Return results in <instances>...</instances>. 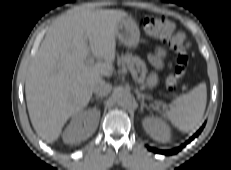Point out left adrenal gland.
I'll return each instance as SVG.
<instances>
[{"instance_id": "obj_1", "label": "left adrenal gland", "mask_w": 231, "mask_h": 170, "mask_svg": "<svg viewBox=\"0 0 231 170\" xmlns=\"http://www.w3.org/2000/svg\"><path fill=\"white\" fill-rule=\"evenodd\" d=\"M144 108H147L149 109V107L144 103V101L142 100L141 101V108H140V111L143 112Z\"/></svg>"}]
</instances>
